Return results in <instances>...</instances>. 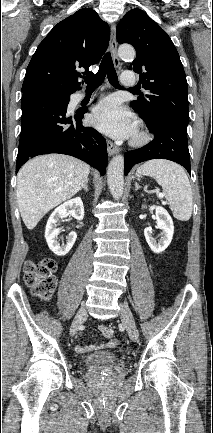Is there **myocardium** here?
<instances>
[{"label": "myocardium", "instance_id": "1", "mask_svg": "<svg viewBox=\"0 0 213 433\" xmlns=\"http://www.w3.org/2000/svg\"><path fill=\"white\" fill-rule=\"evenodd\" d=\"M149 141H150V134L143 129H137L131 139V144L133 146L139 147L145 145Z\"/></svg>", "mask_w": 213, "mask_h": 433}]
</instances>
